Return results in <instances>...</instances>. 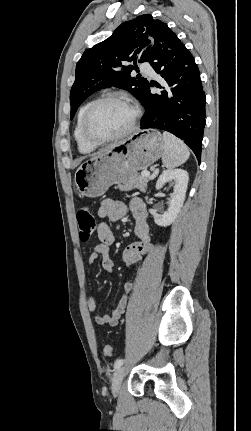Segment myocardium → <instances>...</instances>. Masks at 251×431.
Instances as JSON below:
<instances>
[{"label": "myocardium", "instance_id": "myocardium-1", "mask_svg": "<svg viewBox=\"0 0 251 431\" xmlns=\"http://www.w3.org/2000/svg\"><path fill=\"white\" fill-rule=\"evenodd\" d=\"M108 101H119V102H123V103L128 104L133 109V118H132V121H131L129 127L126 130H124L123 132H121L115 136L108 137V138H96L90 133L89 122H90V119H91L93 113L97 110V108L99 106H101L103 103L108 102ZM140 118H141V109H140L139 105L133 99H131L130 97H128L126 95L119 94V93L105 94V95L101 96L100 98L96 99L95 101H93V103L86 110V112L83 116V120H82V134L88 143H90L92 145H96V146L115 142V141L121 140V139L129 136L131 133H133L134 130L136 129L137 125H138Z\"/></svg>", "mask_w": 251, "mask_h": 431}]
</instances>
